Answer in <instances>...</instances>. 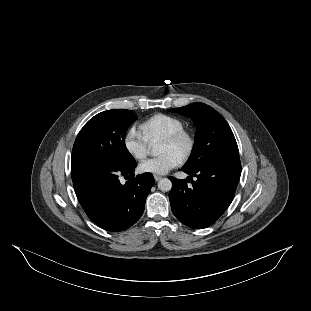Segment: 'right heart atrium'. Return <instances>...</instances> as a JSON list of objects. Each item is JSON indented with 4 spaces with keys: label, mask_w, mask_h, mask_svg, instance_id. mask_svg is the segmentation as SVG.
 <instances>
[{
    "label": "right heart atrium",
    "mask_w": 311,
    "mask_h": 311,
    "mask_svg": "<svg viewBox=\"0 0 311 311\" xmlns=\"http://www.w3.org/2000/svg\"><path fill=\"white\" fill-rule=\"evenodd\" d=\"M123 146L126 152L135 160L142 161L149 153V142L143 132L135 126H130L123 136Z\"/></svg>",
    "instance_id": "obj_1"
}]
</instances>
